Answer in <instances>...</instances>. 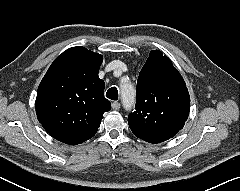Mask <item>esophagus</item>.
<instances>
[{"mask_svg": "<svg viewBox=\"0 0 240 191\" xmlns=\"http://www.w3.org/2000/svg\"><path fill=\"white\" fill-rule=\"evenodd\" d=\"M112 108L114 109V110H119L120 109V103L119 102H113L112 103Z\"/></svg>", "mask_w": 240, "mask_h": 191, "instance_id": "1", "label": "esophagus"}]
</instances>
